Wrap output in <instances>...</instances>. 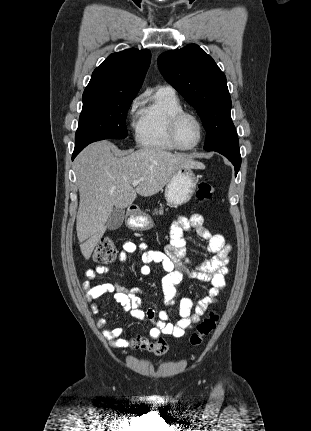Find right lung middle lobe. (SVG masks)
<instances>
[{
    "label": "right lung middle lobe",
    "instance_id": "1",
    "mask_svg": "<svg viewBox=\"0 0 311 431\" xmlns=\"http://www.w3.org/2000/svg\"><path fill=\"white\" fill-rule=\"evenodd\" d=\"M135 95L83 93L75 143L90 139H123L128 135L126 115Z\"/></svg>",
    "mask_w": 311,
    "mask_h": 431
}]
</instances>
